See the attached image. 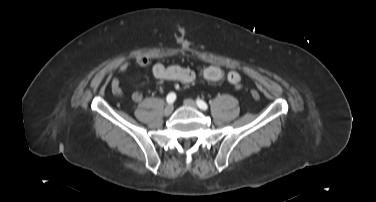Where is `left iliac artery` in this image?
Listing matches in <instances>:
<instances>
[{
	"label": "left iliac artery",
	"mask_w": 376,
	"mask_h": 202,
	"mask_svg": "<svg viewBox=\"0 0 376 202\" xmlns=\"http://www.w3.org/2000/svg\"><path fill=\"white\" fill-rule=\"evenodd\" d=\"M196 103H197V105H198V107L200 109H202V110H207L208 109V105L203 100L197 99Z\"/></svg>",
	"instance_id": "left-iliac-artery-1"
}]
</instances>
